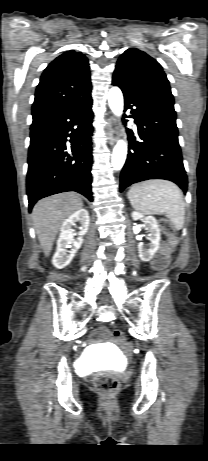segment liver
<instances>
[{"instance_id": "1", "label": "liver", "mask_w": 208, "mask_h": 461, "mask_svg": "<svg viewBox=\"0 0 208 461\" xmlns=\"http://www.w3.org/2000/svg\"><path fill=\"white\" fill-rule=\"evenodd\" d=\"M82 207L83 202L75 193L49 196L36 203L32 211V218L45 256H49L64 220Z\"/></svg>"}]
</instances>
